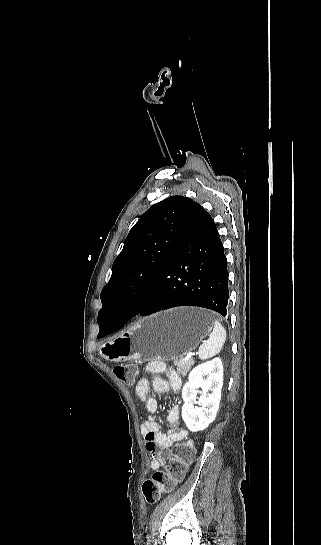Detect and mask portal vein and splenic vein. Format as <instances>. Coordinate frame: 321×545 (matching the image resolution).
I'll use <instances>...</instances> for the list:
<instances>
[{"mask_svg":"<svg viewBox=\"0 0 321 545\" xmlns=\"http://www.w3.org/2000/svg\"><path fill=\"white\" fill-rule=\"evenodd\" d=\"M200 350H201V349H200L199 347H198L197 349H196V348L193 349V351H192L193 353H190L188 359H190V357L195 356L196 354H198V352H199Z\"/></svg>","mask_w":321,"mask_h":545,"instance_id":"obj_1","label":"portal vein and splenic vein"}]
</instances>
